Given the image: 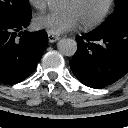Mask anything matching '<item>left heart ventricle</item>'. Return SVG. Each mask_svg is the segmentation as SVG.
<instances>
[{"label": "left heart ventricle", "mask_w": 128, "mask_h": 128, "mask_svg": "<svg viewBox=\"0 0 128 128\" xmlns=\"http://www.w3.org/2000/svg\"><path fill=\"white\" fill-rule=\"evenodd\" d=\"M107 0H67L65 11H72L80 23L96 18L106 5Z\"/></svg>", "instance_id": "1"}]
</instances>
